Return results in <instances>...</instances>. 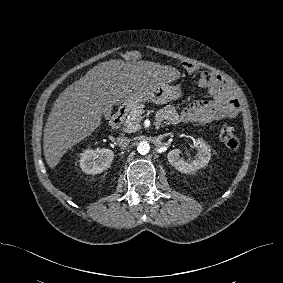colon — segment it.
<instances>
[{
	"label": "colon",
	"instance_id": "obj_1",
	"mask_svg": "<svg viewBox=\"0 0 283 283\" xmlns=\"http://www.w3.org/2000/svg\"><path fill=\"white\" fill-rule=\"evenodd\" d=\"M185 65V64H184ZM186 67V66H185ZM219 137L222 143L229 149V150H236L239 147V139L233 133L231 127L228 124H223L220 128Z\"/></svg>",
	"mask_w": 283,
	"mask_h": 283
}]
</instances>
